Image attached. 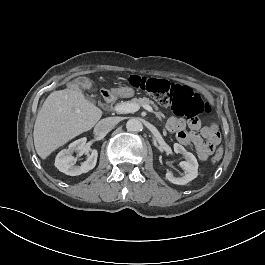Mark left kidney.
<instances>
[{
  "label": "left kidney",
  "instance_id": "1",
  "mask_svg": "<svg viewBox=\"0 0 265 265\" xmlns=\"http://www.w3.org/2000/svg\"><path fill=\"white\" fill-rule=\"evenodd\" d=\"M174 152L180 153L186 160L179 163V167L186 170L184 175L180 177L173 175L171 172L166 173V177L169 181L176 185H184L189 181L197 177L198 162L193 154L187 152V150L180 144L175 143L173 145ZM158 169L162 170V166L158 165Z\"/></svg>",
  "mask_w": 265,
  "mask_h": 265
}]
</instances>
